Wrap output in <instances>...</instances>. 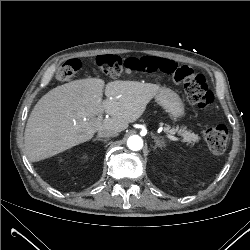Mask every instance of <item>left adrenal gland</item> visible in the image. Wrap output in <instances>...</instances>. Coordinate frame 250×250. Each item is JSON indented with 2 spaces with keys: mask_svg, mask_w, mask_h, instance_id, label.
<instances>
[{
  "mask_svg": "<svg viewBox=\"0 0 250 250\" xmlns=\"http://www.w3.org/2000/svg\"><path fill=\"white\" fill-rule=\"evenodd\" d=\"M151 135H152V138L155 141L154 149H156L157 147H163L164 146V142L162 140H159V138L156 137L154 134H151Z\"/></svg>",
  "mask_w": 250,
  "mask_h": 250,
  "instance_id": "a2214340",
  "label": "left adrenal gland"
}]
</instances>
